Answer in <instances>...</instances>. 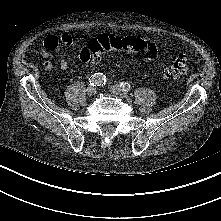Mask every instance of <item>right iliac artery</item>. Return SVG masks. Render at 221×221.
<instances>
[{
    "label": "right iliac artery",
    "instance_id": "1",
    "mask_svg": "<svg viewBox=\"0 0 221 221\" xmlns=\"http://www.w3.org/2000/svg\"><path fill=\"white\" fill-rule=\"evenodd\" d=\"M107 81L106 75L103 73H95L89 78V83L91 86H101Z\"/></svg>",
    "mask_w": 221,
    "mask_h": 221
}]
</instances>
